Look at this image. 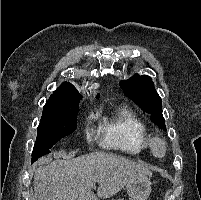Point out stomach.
Returning a JSON list of instances; mask_svg holds the SVG:
<instances>
[{
  "label": "stomach",
  "instance_id": "stomach-1",
  "mask_svg": "<svg viewBox=\"0 0 201 200\" xmlns=\"http://www.w3.org/2000/svg\"><path fill=\"white\" fill-rule=\"evenodd\" d=\"M130 200H147L151 192V181L148 176L138 177L126 185Z\"/></svg>",
  "mask_w": 201,
  "mask_h": 200
}]
</instances>
